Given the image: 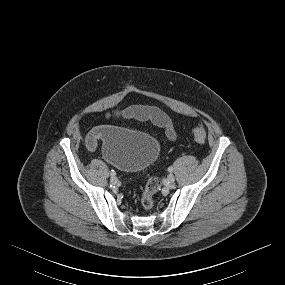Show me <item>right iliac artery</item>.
I'll list each match as a JSON object with an SVG mask.
<instances>
[{
	"label": "right iliac artery",
	"instance_id": "obj_1",
	"mask_svg": "<svg viewBox=\"0 0 285 285\" xmlns=\"http://www.w3.org/2000/svg\"><path fill=\"white\" fill-rule=\"evenodd\" d=\"M110 174H111V176H115L116 172L114 170H111Z\"/></svg>",
	"mask_w": 285,
	"mask_h": 285
}]
</instances>
